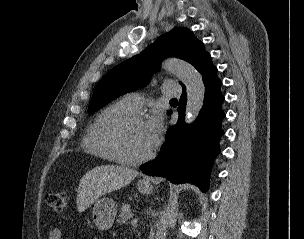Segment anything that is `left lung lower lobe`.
I'll list each match as a JSON object with an SVG mask.
<instances>
[{
	"instance_id": "1",
	"label": "left lung lower lobe",
	"mask_w": 304,
	"mask_h": 239,
	"mask_svg": "<svg viewBox=\"0 0 304 239\" xmlns=\"http://www.w3.org/2000/svg\"><path fill=\"white\" fill-rule=\"evenodd\" d=\"M205 85L203 107L196 121L185 125L186 89L178 106V123L169 128L159 155L143 165L141 170L150 176L166 177L172 183H192L203 192L208 190L213 161L220 153L219 141L224 135L221 122L224 96L222 82L209 55L199 69Z\"/></svg>"
}]
</instances>
